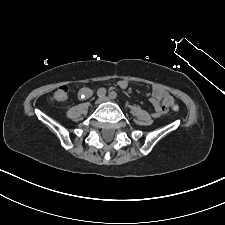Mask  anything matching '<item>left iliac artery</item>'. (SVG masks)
Wrapping results in <instances>:
<instances>
[{
    "instance_id": "44dca946",
    "label": "left iliac artery",
    "mask_w": 225,
    "mask_h": 225,
    "mask_svg": "<svg viewBox=\"0 0 225 225\" xmlns=\"http://www.w3.org/2000/svg\"><path fill=\"white\" fill-rule=\"evenodd\" d=\"M109 96H110L111 99H116L117 98V93L115 91H111L109 93Z\"/></svg>"
}]
</instances>
